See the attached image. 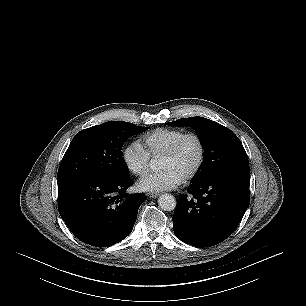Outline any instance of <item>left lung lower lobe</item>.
<instances>
[{
    "label": "left lung lower lobe",
    "mask_w": 306,
    "mask_h": 306,
    "mask_svg": "<svg viewBox=\"0 0 306 306\" xmlns=\"http://www.w3.org/2000/svg\"><path fill=\"white\" fill-rule=\"evenodd\" d=\"M249 171H229L192 182L181 195L173 220L175 235L195 247H210L229 237L250 203Z\"/></svg>",
    "instance_id": "left-lung-lower-lobe-1"
}]
</instances>
